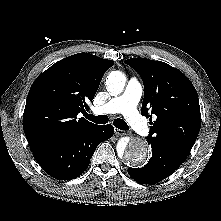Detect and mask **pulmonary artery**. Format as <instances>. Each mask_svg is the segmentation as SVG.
I'll return each instance as SVG.
<instances>
[{
  "mask_svg": "<svg viewBox=\"0 0 221 221\" xmlns=\"http://www.w3.org/2000/svg\"><path fill=\"white\" fill-rule=\"evenodd\" d=\"M143 93V86L136 78H131L122 94L111 98L105 104L94 109L95 114L105 115L121 113L128 124L141 136L150 134V126L138 114L136 109Z\"/></svg>",
  "mask_w": 221,
  "mask_h": 221,
  "instance_id": "obj_1",
  "label": "pulmonary artery"
}]
</instances>
